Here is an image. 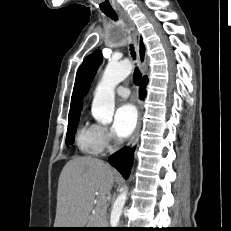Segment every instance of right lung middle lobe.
Wrapping results in <instances>:
<instances>
[{
    "label": "right lung middle lobe",
    "mask_w": 231,
    "mask_h": 231,
    "mask_svg": "<svg viewBox=\"0 0 231 231\" xmlns=\"http://www.w3.org/2000/svg\"><path fill=\"white\" fill-rule=\"evenodd\" d=\"M79 122V115L68 118V130L66 136V144L69 145L74 141V135Z\"/></svg>",
    "instance_id": "1"
}]
</instances>
